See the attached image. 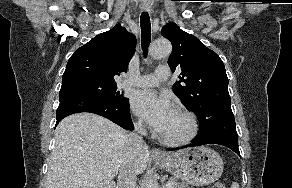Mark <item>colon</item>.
<instances>
[{
    "label": "colon",
    "instance_id": "obj_1",
    "mask_svg": "<svg viewBox=\"0 0 292 188\" xmlns=\"http://www.w3.org/2000/svg\"><path fill=\"white\" fill-rule=\"evenodd\" d=\"M211 188H225V185L223 183H216Z\"/></svg>",
    "mask_w": 292,
    "mask_h": 188
}]
</instances>
